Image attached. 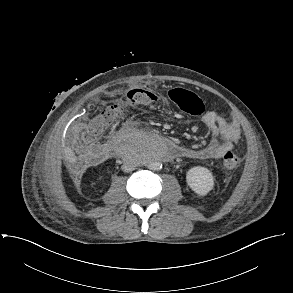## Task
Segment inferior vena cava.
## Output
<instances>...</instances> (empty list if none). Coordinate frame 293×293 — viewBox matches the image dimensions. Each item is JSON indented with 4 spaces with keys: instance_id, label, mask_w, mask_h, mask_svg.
<instances>
[{
    "instance_id": "inferior-vena-cava-1",
    "label": "inferior vena cava",
    "mask_w": 293,
    "mask_h": 293,
    "mask_svg": "<svg viewBox=\"0 0 293 293\" xmlns=\"http://www.w3.org/2000/svg\"><path fill=\"white\" fill-rule=\"evenodd\" d=\"M135 164L133 163H130V162H125L123 165H122V170L124 172H130V171H133L135 169Z\"/></svg>"
}]
</instances>
